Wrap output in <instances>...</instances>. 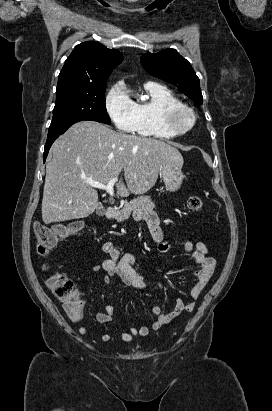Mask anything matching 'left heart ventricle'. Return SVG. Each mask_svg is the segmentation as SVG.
Masks as SVG:
<instances>
[{
	"instance_id": "left-heart-ventricle-1",
	"label": "left heart ventricle",
	"mask_w": 272,
	"mask_h": 411,
	"mask_svg": "<svg viewBox=\"0 0 272 411\" xmlns=\"http://www.w3.org/2000/svg\"><path fill=\"white\" fill-rule=\"evenodd\" d=\"M189 122V117H188V115H183V116H181L180 118H179V123L181 124V125H185V124H187Z\"/></svg>"
}]
</instances>
